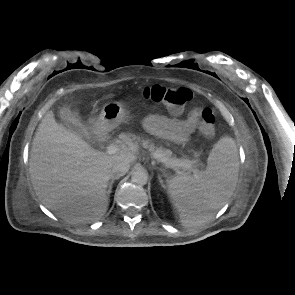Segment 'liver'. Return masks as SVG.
Instances as JSON below:
<instances>
[{"label": "liver", "mask_w": 295, "mask_h": 295, "mask_svg": "<svg viewBox=\"0 0 295 295\" xmlns=\"http://www.w3.org/2000/svg\"><path fill=\"white\" fill-rule=\"evenodd\" d=\"M130 145L116 155L90 147L59 125L48 111L35 133L30 155L32 185L41 202L66 221H93L109 206L108 185L118 161L137 159Z\"/></svg>", "instance_id": "1"}]
</instances>
